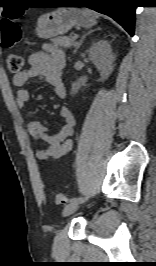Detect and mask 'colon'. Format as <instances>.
<instances>
[{"label": "colon", "mask_w": 156, "mask_h": 266, "mask_svg": "<svg viewBox=\"0 0 156 266\" xmlns=\"http://www.w3.org/2000/svg\"><path fill=\"white\" fill-rule=\"evenodd\" d=\"M21 14V11H16L1 21L3 47L10 48L19 43L21 28L16 21ZM6 64L10 72L19 73L23 67V58L18 54H9L6 57ZM53 197L57 204H64L66 202V197L62 193H54Z\"/></svg>", "instance_id": "5ec220e1"}]
</instances>
